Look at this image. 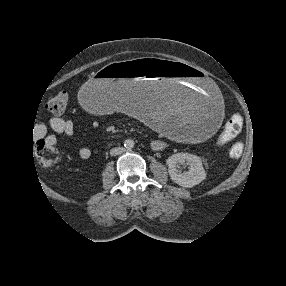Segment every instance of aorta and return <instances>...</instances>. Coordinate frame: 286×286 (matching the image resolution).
I'll list each match as a JSON object with an SVG mask.
<instances>
[{"label": "aorta", "mask_w": 286, "mask_h": 286, "mask_svg": "<svg viewBox=\"0 0 286 286\" xmlns=\"http://www.w3.org/2000/svg\"><path fill=\"white\" fill-rule=\"evenodd\" d=\"M134 145H135V143H134V141L132 140V139H127V140H125V142H124V147L126 148V149H132L133 147H134Z\"/></svg>", "instance_id": "762f6f07"}]
</instances>
